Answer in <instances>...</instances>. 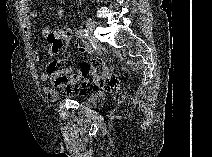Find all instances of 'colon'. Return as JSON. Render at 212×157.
I'll return each instance as SVG.
<instances>
[{
    "mask_svg": "<svg viewBox=\"0 0 212 157\" xmlns=\"http://www.w3.org/2000/svg\"><path fill=\"white\" fill-rule=\"evenodd\" d=\"M49 39L52 42V52L55 55L62 54L71 41V31L66 28L58 29L49 34ZM47 71L52 77L54 86L67 94L75 92L87 94L97 88L107 92H115L118 89L116 75L102 61L95 67L80 68L75 72L68 58H53L48 63Z\"/></svg>",
    "mask_w": 212,
    "mask_h": 157,
    "instance_id": "1",
    "label": "colon"
}]
</instances>
